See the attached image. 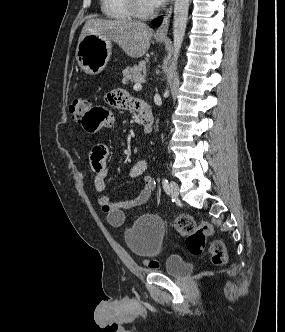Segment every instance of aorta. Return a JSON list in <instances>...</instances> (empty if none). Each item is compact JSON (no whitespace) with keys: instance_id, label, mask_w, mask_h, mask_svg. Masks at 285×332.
Here are the masks:
<instances>
[{"instance_id":"aorta-1","label":"aorta","mask_w":285,"mask_h":332,"mask_svg":"<svg viewBox=\"0 0 285 332\" xmlns=\"http://www.w3.org/2000/svg\"><path fill=\"white\" fill-rule=\"evenodd\" d=\"M189 1L190 0H175L173 22V60L169 68V75L167 77L168 84L171 83L173 78V72L183 43L188 20ZM165 94H169L168 89Z\"/></svg>"}]
</instances>
